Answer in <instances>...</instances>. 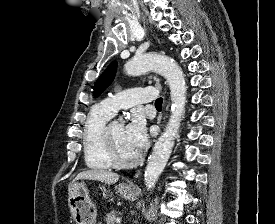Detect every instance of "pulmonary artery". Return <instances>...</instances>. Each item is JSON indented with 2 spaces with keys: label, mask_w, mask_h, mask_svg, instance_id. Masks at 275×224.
<instances>
[{
  "label": "pulmonary artery",
  "mask_w": 275,
  "mask_h": 224,
  "mask_svg": "<svg viewBox=\"0 0 275 224\" xmlns=\"http://www.w3.org/2000/svg\"><path fill=\"white\" fill-rule=\"evenodd\" d=\"M157 95L158 92L153 87L129 88L105 98L101 101L100 106L113 115L120 108L151 102L157 98Z\"/></svg>",
  "instance_id": "e3ab8cb5"
}]
</instances>
